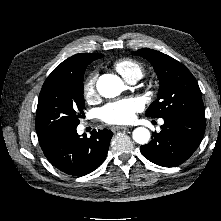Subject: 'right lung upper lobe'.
Wrapping results in <instances>:
<instances>
[{"label":"right lung upper lobe","instance_id":"obj_1","mask_svg":"<svg viewBox=\"0 0 221 221\" xmlns=\"http://www.w3.org/2000/svg\"><path fill=\"white\" fill-rule=\"evenodd\" d=\"M102 54L97 53H82L71 56L70 58L63 61L58 65L53 71L55 73H70L77 74L81 71H84L88 64L92 61L102 58Z\"/></svg>","mask_w":221,"mask_h":221}]
</instances>
